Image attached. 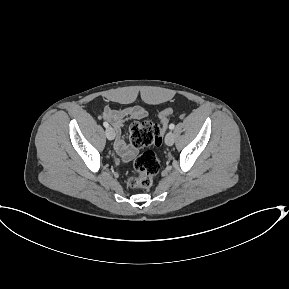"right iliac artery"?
I'll return each mask as SVG.
<instances>
[{"label": "right iliac artery", "mask_w": 289, "mask_h": 289, "mask_svg": "<svg viewBox=\"0 0 289 289\" xmlns=\"http://www.w3.org/2000/svg\"><path fill=\"white\" fill-rule=\"evenodd\" d=\"M103 126L106 127V128H108V127H109V124H108L107 122H104V123H103Z\"/></svg>", "instance_id": "obj_1"}]
</instances>
